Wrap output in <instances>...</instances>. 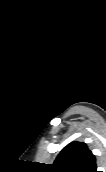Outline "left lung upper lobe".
Segmentation results:
<instances>
[{"mask_svg":"<svg viewBox=\"0 0 106 172\" xmlns=\"http://www.w3.org/2000/svg\"><path fill=\"white\" fill-rule=\"evenodd\" d=\"M55 172H97L95 156L82 142H71L52 164Z\"/></svg>","mask_w":106,"mask_h":172,"instance_id":"left-lung-upper-lobe-1","label":"left lung upper lobe"}]
</instances>
